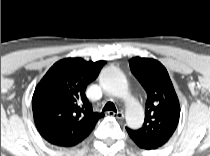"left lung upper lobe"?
Returning a JSON list of instances; mask_svg holds the SVG:
<instances>
[{
    "label": "left lung upper lobe",
    "mask_w": 210,
    "mask_h": 156,
    "mask_svg": "<svg viewBox=\"0 0 210 156\" xmlns=\"http://www.w3.org/2000/svg\"><path fill=\"white\" fill-rule=\"evenodd\" d=\"M134 75L149 94L144 126L131 137L139 146L151 149L165 143L178 122V101L163 68L148 59L131 63Z\"/></svg>",
    "instance_id": "left-lung-upper-lobe-1"
}]
</instances>
